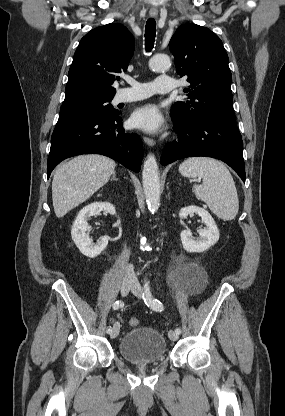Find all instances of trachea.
<instances>
[{"label": "trachea", "mask_w": 285, "mask_h": 416, "mask_svg": "<svg viewBox=\"0 0 285 416\" xmlns=\"http://www.w3.org/2000/svg\"><path fill=\"white\" fill-rule=\"evenodd\" d=\"M156 37V22L154 18H149L145 26V48L150 52L154 46Z\"/></svg>", "instance_id": "1"}]
</instances>
